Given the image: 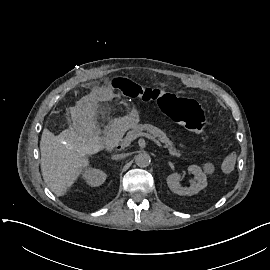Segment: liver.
Segmentation results:
<instances>
[{
	"label": "liver",
	"mask_w": 270,
	"mask_h": 270,
	"mask_svg": "<svg viewBox=\"0 0 270 270\" xmlns=\"http://www.w3.org/2000/svg\"><path fill=\"white\" fill-rule=\"evenodd\" d=\"M41 172L48 188L58 197L66 196L84 170L91 166L93 147L86 144H64L44 128L41 140Z\"/></svg>",
	"instance_id": "1"
}]
</instances>
